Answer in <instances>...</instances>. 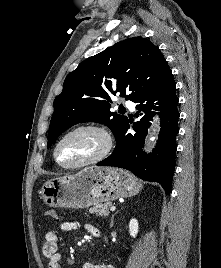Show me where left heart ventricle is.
Listing matches in <instances>:
<instances>
[{
    "label": "left heart ventricle",
    "mask_w": 221,
    "mask_h": 268,
    "mask_svg": "<svg viewBox=\"0 0 221 268\" xmlns=\"http://www.w3.org/2000/svg\"><path fill=\"white\" fill-rule=\"evenodd\" d=\"M102 136L90 130L79 131L64 140L58 150L59 160L66 165L81 163L95 156L103 147Z\"/></svg>",
    "instance_id": "obj_1"
}]
</instances>
